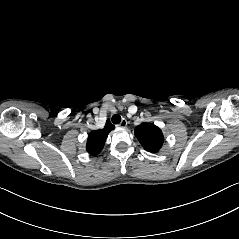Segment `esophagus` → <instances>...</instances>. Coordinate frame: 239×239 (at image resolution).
Listing matches in <instances>:
<instances>
[{"label": "esophagus", "mask_w": 239, "mask_h": 239, "mask_svg": "<svg viewBox=\"0 0 239 239\" xmlns=\"http://www.w3.org/2000/svg\"><path fill=\"white\" fill-rule=\"evenodd\" d=\"M118 126L121 128H125L127 126V120L123 118Z\"/></svg>", "instance_id": "34e87169"}]
</instances>
